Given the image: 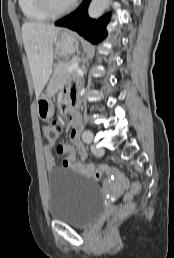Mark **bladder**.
<instances>
[{
	"instance_id": "1",
	"label": "bladder",
	"mask_w": 174,
	"mask_h": 258,
	"mask_svg": "<svg viewBox=\"0 0 174 258\" xmlns=\"http://www.w3.org/2000/svg\"><path fill=\"white\" fill-rule=\"evenodd\" d=\"M48 213L51 219L85 227L102 213L105 203L101 188L69 169L48 174Z\"/></svg>"
}]
</instances>
